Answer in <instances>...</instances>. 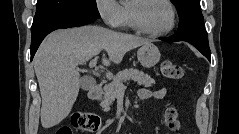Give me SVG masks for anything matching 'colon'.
Masks as SVG:
<instances>
[{"label":"colon","mask_w":239,"mask_h":134,"mask_svg":"<svg viewBox=\"0 0 239 134\" xmlns=\"http://www.w3.org/2000/svg\"><path fill=\"white\" fill-rule=\"evenodd\" d=\"M162 75L169 80H179L184 75L183 68L173 62L164 61L161 65ZM179 109L177 107H169L165 112V122L169 129L176 131L180 128L178 120ZM99 117L87 113H77L72 119L71 127H61L57 130L56 134H72V130H83L89 132H97L100 128Z\"/></svg>","instance_id":"obj_1"}]
</instances>
